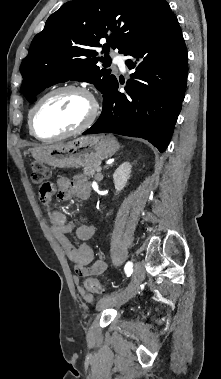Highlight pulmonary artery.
Instances as JSON below:
<instances>
[{
	"label": "pulmonary artery",
	"mask_w": 221,
	"mask_h": 379,
	"mask_svg": "<svg viewBox=\"0 0 221 379\" xmlns=\"http://www.w3.org/2000/svg\"><path fill=\"white\" fill-rule=\"evenodd\" d=\"M114 63L119 67L121 71H125L126 64H125V57L119 54H116L113 58Z\"/></svg>",
	"instance_id": "obj_1"
}]
</instances>
